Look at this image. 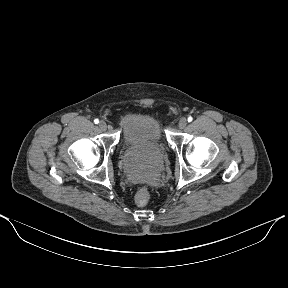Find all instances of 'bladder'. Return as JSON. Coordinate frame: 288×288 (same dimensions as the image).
I'll use <instances>...</instances> for the list:
<instances>
[{
  "instance_id": "1",
  "label": "bladder",
  "mask_w": 288,
  "mask_h": 288,
  "mask_svg": "<svg viewBox=\"0 0 288 288\" xmlns=\"http://www.w3.org/2000/svg\"><path fill=\"white\" fill-rule=\"evenodd\" d=\"M122 143L126 149L142 152L147 160L158 157L162 151V130L149 115L138 114L127 119L121 128Z\"/></svg>"
}]
</instances>
